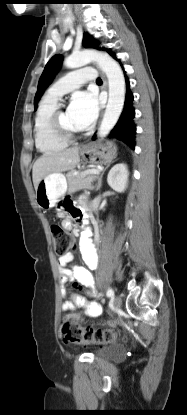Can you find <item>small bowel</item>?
Instances as JSON below:
<instances>
[{"instance_id": "c3829d8e", "label": "small bowel", "mask_w": 187, "mask_h": 415, "mask_svg": "<svg viewBox=\"0 0 187 415\" xmlns=\"http://www.w3.org/2000/svg\"><path fill=\"white\" fill-rule=\"evenodd\" d=\"M64 213H66L67 216L63 221V225L67 229L72 228L73 220L78 221L81 218H85L80 209L68 204H64L62 207V215ZM80 249L83 260L88 268L81 266L69 267L71 262L74 260V254L70 252L66 255L60 256L58 259L60 282L63 285L61 292L62 296L67 299L63 303L62 308L65 311H75L77 308H84L85 313L88 316L99 317L102 314L101 304L96 301L88 300L87 298H93L98 295L94 278L90 271L95 269L97 266L96 248L88 238H84L81 241ZM70 281H76L79 285L87 287V297L71 292L65 288L64 285Z\"/></svg>"}]
</instances>
